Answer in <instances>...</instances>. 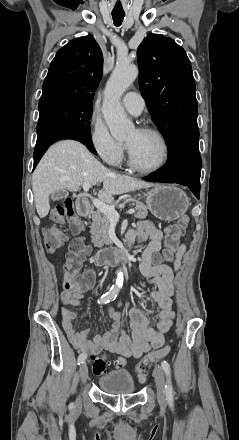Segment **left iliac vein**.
Wrapping results in <instances>:
<instances>
[{"label": "left iliac vein", "mask_w": 239, "mask_h": 440, "mask_svg": "<svg viewBox=\"0 0 239 440\" xmlns=\"http://www.w3.org/2000/svg\"><path fill=\"white\" fill-rule=\"evenodd\" d=\"M153 376L155 378L157 388V399L161 406H166L167 398L165 393V376L160 367H156L153 370Z\"/></svg>", "instance_id": "1"}]
</instances>
